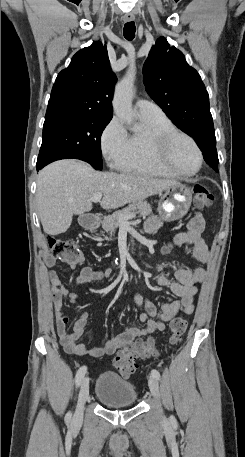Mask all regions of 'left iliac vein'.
<instances>
[{"instance_id": "4c4485c4", "label": "left iliac vein", "mask_w": 245, "mask_h": 457, "mask_svg": "<svg viewBox=\"0 0 245 457\" xmlns=\"http://www.w3.org/2000/svg\"><path fill=\"white\" fill-rule=\"evenodd\" d=\"M149 387L154 399H159V385L157 379L151 375L149 377Z\"/></svg>"}]
</instances>
